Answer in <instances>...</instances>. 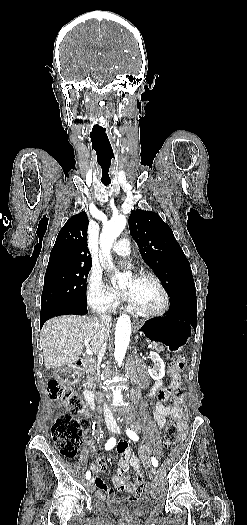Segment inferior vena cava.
Segmentation results:
<instances>
[{"label": "inferior vena cava", "instance_id": "inferior-vena-cava-1", "mask_svg": "<svg viewBox=\"0 0 247 525\" xmlns=\"http://www.w3.org/2000/svg\"><path fill=\"white\" fill-rule=\"evenodd\" d=\"M106 311H107V307H105L104 303H100L99 307H97V313L99 315V321L101 325H108V323H111V317L110 315H107ZM106 347H107V341H100L99 351L97 355L98 369H100L99 365H101L102 359H104Z\"/></svg>", "mask_w": 247, "mask_h": 525}]
</instances>
